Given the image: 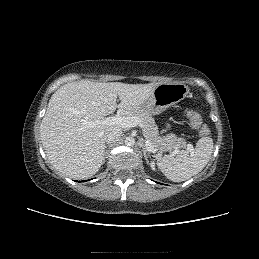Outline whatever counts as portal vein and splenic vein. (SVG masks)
I'll return each instance as SVG.
<instances>
[{
    "mask_svg": "<svg viewBox=\"0 0 259 259\" xmlns=\"http://www.w3.org/2000/svg\"><path fill=\"white\" fill-rule=\"evenodd\" d=\"M105 124V125H112V126H119L123 128H132L136 126H140L142 128L143 136L145 137V146L147 149L151 152H157L158 150L153 148L148 136L146 134L144 125L142 124V121L137 117H125V116H111L107 117L103 120L100 119H94V120H83V125L87 128H93L97 125ZM190 150L193 149L192 145H189L188 147Z\"/></svg>",
    "mask_w": 259,
    "mask_h": 259,
    "instance_id": "obj_1",
    "label": "portal vein and splenic vein"
}]
</instances>
